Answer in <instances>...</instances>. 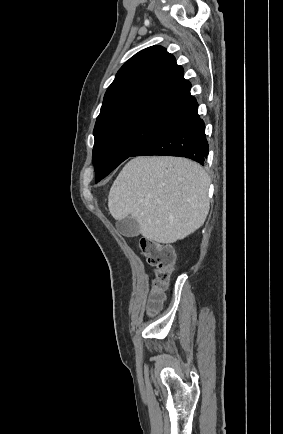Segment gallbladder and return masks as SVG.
<instances>
[{
	"mask_svg": "<svg viewBox=\"0 0 283 434\" xmlns=\"http://www.w3.org/2000/svg\"><path fill=\"white\" fill-rule=\"evenodd\" d=\"M116 226L121 234L126 237H136L139 235V225L131 216L126 217L116 223Z\"/></svg>",
	"mask_w": 283,
	"mask_h": 434,
	"instance_id": "1",
	"label": "gallbladder"
}]
</instances>
